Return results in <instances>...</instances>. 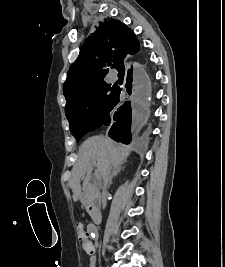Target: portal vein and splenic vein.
Wrapping results in <instances>:
<instances>
[{"label":"portal vein and splenic vein","mask_w":225,"mask_h":267,"mask_svg":"<svg viewBox=\"0 0 225 267\" xmlns=\"http://www.w3.org/2000/svg\"><path fill=\"white\" fill-rule=\"evenodd\" d=\"M98 174H97V172H95V176H97Z\"/></svg>","instance_id":"obj_1"}]
</instances>
